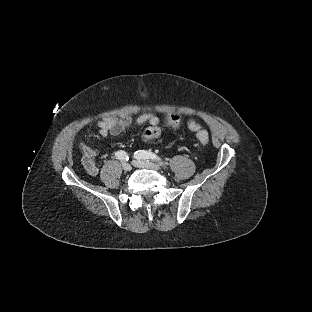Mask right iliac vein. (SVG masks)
<instances>
[{
  "label": "right iliac vein",
  "instance_id": "1",
  "mask_svg": "<svg viewBox=\"0 0 312 312\" xmlns=\"http://www.w3.org/2000/svg\"><path fill=\"white\" fill-rule=\"evenodd\" d=\"M122 168L125 172H129L132 169V166L129 163H123Z\"/></svg>",
  "mask_w": 312,
  "mask_h": 312
}]
</instances>
